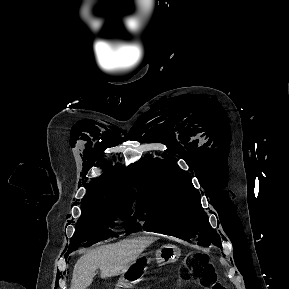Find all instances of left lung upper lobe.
<instances>
[{"mask_svg": "<svg viewBox=\"0 0 289 289\" xmlns=\"http://www.w3.org/2000/svg\"><path fill=\"white\" fill-rule=\"evenodd\" d=\"M137 183L139 217L145 230L164 233L196 242L222 247L218 233L210 226L193 187L189 173L181 170L175 160L151 159L146 156L139 166Z\"/></svg>", "mask_w": 289, "mask_h": 289, "instance_id": "left-lung-upper-lobe-1", "label": "left lung upper lobe"}]
</instances>
